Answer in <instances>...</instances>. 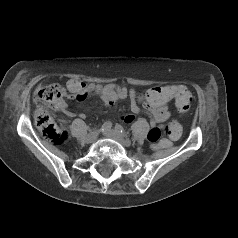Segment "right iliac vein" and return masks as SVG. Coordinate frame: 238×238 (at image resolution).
<instances>
[{"mask_svg":"<svg viewBox=\"0 0 238 238\" xmlns=\"http://www.w3.org/2000/svg\"><path fill=\"white\" fill-rule=\"evenodd\" d=\"M98 135H99V130L95 129L91 131L86 137V142L87 143L94 142L97 139Z\"/></svg>","mask_w":238,"mask_h":238,"instance_id":"63e3f726","label":"right iliac vein"}]
</instances>
